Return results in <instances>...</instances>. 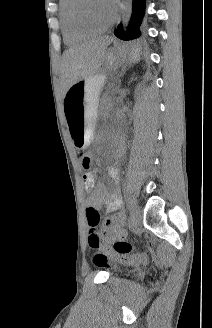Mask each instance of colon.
Segmentation results:
<instances>
[{
  "label": "colon",
  "mask_w": 212,
  "mask_h": 328,
  "mask_svg": "<svg viewBox=\"0 0 212 328\" xmlns=\"http://www.w3.org/2000/svg\"><path fill=\"white\" fill-rule=\"evenodd\" d=\"M80 170H92V157L90 153L78 154ZM88 224L90 229L88 231V245L91 249L96 250L97 253L94 256V263L99 267L108 266V256L104 253V248L101 244L100 235L96 228L99 222V213L93 207H88L86 210ZM133 247L130 243L119 240L114 243L112 251L115 257L121 261H127L131 263L145 262L147 259L143 255H132Z\"/></svg>",
  "instance_id": "colon-1"
}]
</instances>
